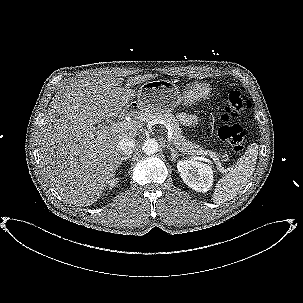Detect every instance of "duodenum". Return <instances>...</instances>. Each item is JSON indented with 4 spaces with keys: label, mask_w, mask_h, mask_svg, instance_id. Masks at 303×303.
Segmentation results:
<instances>
[{
    "label": "duodenum",
    "mask_w": 303,
    "mask_h": 303,
    "mask_svg": "<svg viewBox=\"0 0 303 303\" xmlns=\"http://www.w3.org/2000/svg\"><path fill=\"white\" fill-rule=\"evenodd\" d=\"M131 111H132L131 108L125 109V110L121 113L120 117H121V118H125L128 114L131 113Z\"/></svg>",
    "instance_id": "obj_1"
}]
</instances>
